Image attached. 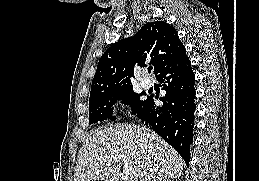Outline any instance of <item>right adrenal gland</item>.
<instances>
[{
	"label": "right adrenal gland",
	"mask_w": 259,
	"mask_h": 181,
	"mask_svg": "<svg viewBox=\"0 0 259 181\" xmlns=\"http://www.w3.org/2000/svg\"><path fill=\"white\" fill-rule=\"evenodd\" d=\"M158 181H170V179H168V178H161Z\"/></svg>",
	"instance_id": "obj_1"
}]
</instances>
